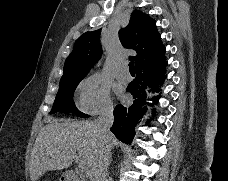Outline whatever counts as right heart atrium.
Masks as SVG:
<instances>
[{
    "mask_svg": "<svg viewBox=\"0 0 228 181\" xmlns=\"http://www.w3.org/2000/svg\"><path fill=\"white\" fill-rule=\"evenodd\" d=\"M110 90L98 76L88 78L81 93V109L89 114H99L111 110Z\"/></svg>",
    "mask_w": 228,
    "mask_h": 181,
    "instance_id": "d8ad5b80",
    "label": "right heart atrium"
}]
</instances>
